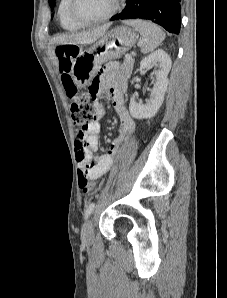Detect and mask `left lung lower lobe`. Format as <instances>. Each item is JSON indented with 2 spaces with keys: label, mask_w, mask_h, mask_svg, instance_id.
Returning <instances> with one entry per match:
<instances>
[{
  "label": "left lung lower lobe",
  "mask_w": 227,
  "mask_h": 298,
  "mask_svg": "<svg viewBox=\"0 0 227 298\" xmlns=\"http://www.w3.org/2000/svg\"><path fill=\"white\" fill-rule=\"evenodd\" d=\"M181 0H127L121 13L110 20L146 19L161 25L167 31L179 34Z\"/></svg>",
  "instance_id": "0a47b994"
}]
</instances>
